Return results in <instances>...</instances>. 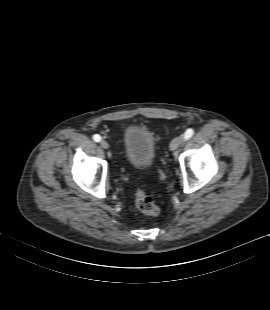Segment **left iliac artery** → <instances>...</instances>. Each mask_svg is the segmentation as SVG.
<instances>
[{"mask_svg": "<svg viewBox=\"0 0 270 310\" xmlns=\"http://www.w3.org/2000/svg\"><path fill=\"white\" fill-rule=\"evenodd\" d=\"M193 134H194V130L193 129H191V128L187 129L185 134H184V139L185 140L190 139L193 136Z\"/></svg>", "mask_w": 270, "mask_h": 310, "instance_id": "1", "label": "left iliac artery"}]
</instances>
